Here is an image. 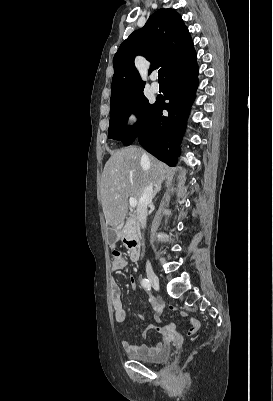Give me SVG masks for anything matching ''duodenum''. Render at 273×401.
Returning a JSON list of instances; mask_svg holds the SVG:
<instances>
[{
    "label": "duodenum",
    "mask_w": 273,
    "mask_h": 401,
    "mask_svg": "<svg viewBox=\"0 0 273 401\" xmlns=\"http://www.w3.org/2000/svg\"><path fill=\"white\" fill-rule=\"evenodd\" d=\"M126 237L124 242L129 249V257L132 261L138 260L140 256L141 244L137 231V223L134 216L129 215L125 221Z\"/></svg>",
    "instance_id": "410a0bca"
}]
</instances>
